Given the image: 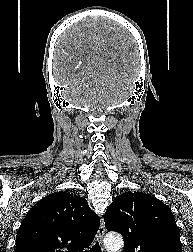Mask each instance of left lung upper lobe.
<instances>
[{
    "instance_id": "obj_1",
    "label": "left lung upper lobe",
    "mask_w": 193,
    "mask_h": 252,
    "mask_svg": "<svg viewBox=\"0 0 193 252\" xmlns=\"http://www.w3.org/2000/svg\"><path fill=\"white\" fill-rule=\"evenodd\" d=\"M108 231L124 237V252H181L178 227L170 208L148 193L126 192L106 210Z\"/></svg>"
}]
</instances>
